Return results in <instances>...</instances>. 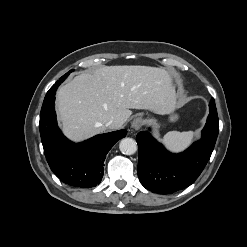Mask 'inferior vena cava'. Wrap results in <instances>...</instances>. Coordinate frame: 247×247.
<instances>
[{
  "label": "inferior vena cava",
  "instance_id": "602c4592",
  "mask_svg": "<svg viewBox=\"0 0 247 247\" xmlns=\"http://www.w3.org/2000/svg\"><path fill=\"white\" fill-rule=\"evenodd\" d=\"M106 127L110 128V129H115L118 127V122L115 120H110L106 123Z\"/></svg>",
  "mask_w": 247,
  "mask_h": 247
}]
</instances>
